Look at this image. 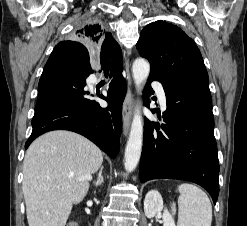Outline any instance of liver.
Wrapping results in <instances>:
<instances>
[{
    "instance_id": "liver-1",
    "label": "liver",
    "mask_w": 247,
    "mask_h": 226,
    "mask_svg": "<svg viewBox=\"0 0 247 226\" xmlns=\"http://www.w3.org/2000/svg\"><path fill=\"white\" fill-rule=\"evenodd\" d=\"M102 162L101 150L79 134L59 130L37 138L23 163L29 226H65Z\"/></svg>"
}]
</instances>
